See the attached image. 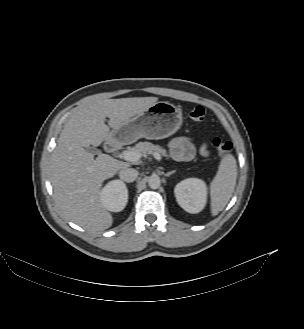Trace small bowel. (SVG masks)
<instances>
[{
    "mask_svg": "<svg viewBox=\"0 0 304 329\" xmlns=\"http://www.w3.org/2000/svg\"><path fill=\"white\" fill-rule=\"evenodd\" d=\"M170 152L172 157L177 161H190L196 155V149L194 143L189 138H179L171 142ZM199 153L202 156L208 155V150L206 144H203Z\"/></svg>",
    "mask_w": 304,
    "mask_h": 329,
    "instance_id": "obj_1",
    "label": "small bowel"
}]
</instances>
